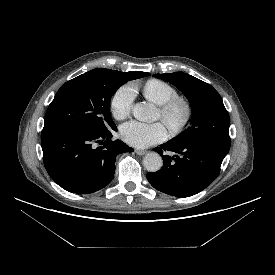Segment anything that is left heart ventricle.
<instances>
[{
	"mask_svg": "<svg viewBox=\"0 0 275 275\" xmlns=\"http://www.w3.org/2000/svg\"><path fill=\"white\" fill-rule=\"evenodd\" d=\"M159 117L161 118V113L159 112ZM183 117V111L178 108L173 111L169 117L164 122L166 126H173L176 125Z\"/></svg>",
	"mask_w": 275,
	"mask_h": 275,
	"instance_id": "left-heart-ventricle-1",
	"label": "left heart ventricle"
}]
</instances>
